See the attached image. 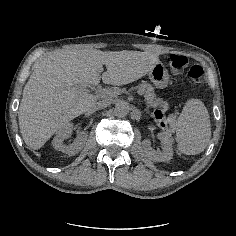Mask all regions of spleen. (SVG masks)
Instances as JSON below:
<instances>
[{
    "label": "spleen",
    "mask_w": 236,
    "mask_h": 236,
    "mask_svg": "<svg viewBox=\"0 0 236 236\" xmlns=\"http://www.w3.org/2000/svg\"><path fill=\"white\" fill-rule=\"evenodd\" d=\"M211 138L210 116L204 103L190 99L176 123L178 150L186 155H196L204 151Z\"/></svg>",
    "instance_id": "obj_1"
}]
</instances>
